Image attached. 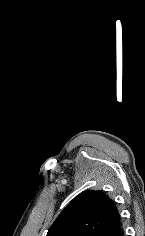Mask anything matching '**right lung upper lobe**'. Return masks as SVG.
Listing matches in <instances>:
<instances>
[{"mask_svg":"<svg viewBox=\"0 0 145 236\" xmlns=\"http://www.w3.org/2000/svg\"><path fill=\"white\" fill-rule=\"evenodd\" d=\"M118 222L114 202L103 191L88 190L66 206L47 236H99Z\"/></svg>","mask_w":145,"mask_h":236,"instance_id":"obj_1","label":"right lung upper lobe"}]
</instances>
